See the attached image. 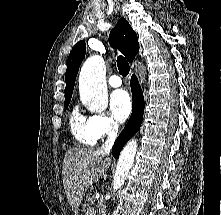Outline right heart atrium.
Segmentation results:
<instances>
[{
    "instance_id": "obj_1",
    "label": "right heart atrium",
    "mask_w": 221,
    "mask_h": 215,
    "mask_svg": "<svg viewBox=\"0 0 221 215\" xmlns=\"http://www.w3.org/2000/svg\"><path fill=\"white\" fill-rule=\"evenodd\" d=\"M91 132L97 139L112 137L118 131V124L109 115L104 113L93 114L89 118Z\"/></svg>"
}]
</instances>
